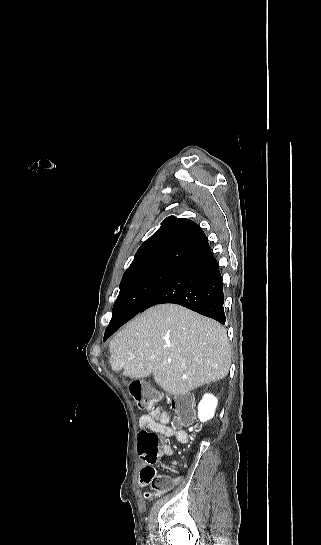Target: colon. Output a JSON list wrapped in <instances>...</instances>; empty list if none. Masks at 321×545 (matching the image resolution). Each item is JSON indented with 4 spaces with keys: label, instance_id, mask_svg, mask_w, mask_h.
<instances>
[{
    "label": "colon",
    "instance_id": "obj_1",
    "mask_svg": "<svg viewBox=\"0 0 321 545\" xmlns=\"http://www.w3.org/2000/svg\"><path fill=\"white\" fill-rule=\"evenodd\" d=\"M129 391L140 409L151 412L158 401L156 391L147 383L132 381ZM178 412V422L189 424L194 419L193 407L188 399H179L173 403ZM160 437L157 433L141 430L138 436V445L141 454L147 460H155L159 452ZM179 481L178 476L152 475L149 478L151 490L145 494L147 498H154L170 490Z\"/></svg>",
    "mask_w": 321,
    "mask_h": 545
}]
</instances>
